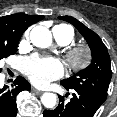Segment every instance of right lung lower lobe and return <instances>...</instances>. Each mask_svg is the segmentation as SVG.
Here are the masks:
<instances>
[{"label":"right lung lower lobe","instance_id":"obj_1","mask_svg":"<svg viewBox=\"0 0 117 117\" xmlns=\"http://www.w3.org/2000/svg\"><path fill=\"white\" fill-rule=\"evenodd\" d=\"M27 80L18 76L11 89L4 86L0 89V117H15L17 114L16 95L23 90H30Z\"/></svg>","mask_w":117,"mask_h":117}]
</instances>
